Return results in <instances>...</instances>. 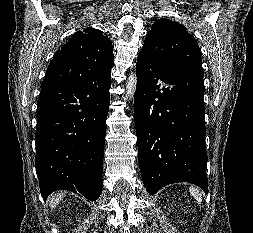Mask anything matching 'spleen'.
Returning a JSON list of instances; mask_svg holds the SVG:
<instances>
[{"label":"spleen","mask_w":253,"mask_h":233,"mask_svg":"<svg viewBox=\"0 0 253 233\" xmlns=\"http://www.w3.org/2000/svg\"><path fill=\"white\" fill-rule=\"evenodd\" d=\"M190 194L199 202H202V194L200 193L199 189L195 188L194 186H190L189 188Z\"/></svg>","instance_id":"obj_1"}]
</instances>
